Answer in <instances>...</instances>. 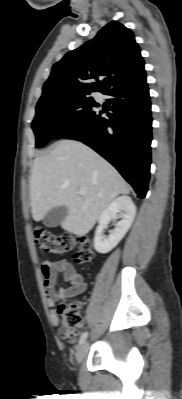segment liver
<instances>
[{
  "mask_svg": "<svg viewBox=\"0 0 182 399\" xmlns=\"http://www.w3.org/2000/svg\"><path fill=\"white\" fill-rule=\"evenodd\" d=\"M80 188L86 194L79 193ZM130 187L118 171L85 144L61 140L45 156L33 161L30 177L32 217L44 219L49 210L65 206L68 213L61 227L79 237L95 225L102 211Z\"/></svg>",
  "mask_w": 182,
  "mask_h": 399,
  "instance_id": "1",
  "label": "liver"
}]
</instances>
